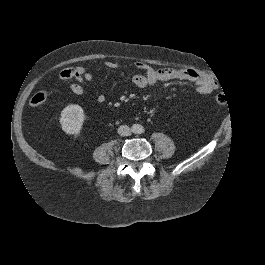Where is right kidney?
Listing matches in <instances>:
<instances>
[{"instance_id":"obj_1","label":"right kidney","mask_w":265,"mask_h":265,"mask_svg":"<svg viewBox=\"0 0 265 265\" xmlns=\"http://www.w3.org/2000/svg\"><path fill=\"white\" fill-rule=\"evenodd\" d=\"M84 118L83 109L79 105H68L61 112L62 130L67 134H79Z\"/></svg>"}]
</instances>
